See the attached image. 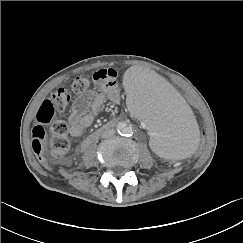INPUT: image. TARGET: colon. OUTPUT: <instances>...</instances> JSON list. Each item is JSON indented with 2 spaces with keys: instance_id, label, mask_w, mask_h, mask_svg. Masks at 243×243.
<instances>
[{
  "instance_id": "1",
  "label": "colon",
  "mask_w": 243,
  "mask_h": 243,
  "mask_svg": "<svg viewBox=\"0 0 243 243\" xmlns=\"http://www.w3.org/2000/svg\"><path fill=\"white\" fill-rule=\"evenodd\" d=\"M112 74L103 69L98 72L95 80L98 82H109L112 79ZM89 87V81L86 78L78 77L72 83V89L76 93H84ZM71 101V92L66 88L56 90L52 96L45 100L38 111L37 119L39 124L34 126L32 130V149L39 161L48 166L46 151H47V136L44 125L50 124L56 110H62L68 106ZM52 137L50 140V147L55 156L64 155L70 149V140L67 137L68 125L64 121H55L51 125ZM209 129H200L199 144L196 146L195 153L190 157L180 158L179 164H191L202 156L208 146Z\"/></svg>"
}]
</instances>
